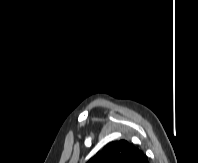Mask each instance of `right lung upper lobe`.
I'll list each match as a JSON object with an SVG mask.
<instances>
[{"label":"right lung upper lobe","mask_w":198,"mask_h":163,"mask_svg":"<svg viewBox=\"0 0 198 163\" xmlns=\"http://www.w3.org/2000/svg\"><path fill=\"white\" fill-rule=\"evenodd\" d=\"M87 163H149L144 153L126 140L110 142Z\"/></svg>","instance_id":"cb5924a9"}]
</instances>
